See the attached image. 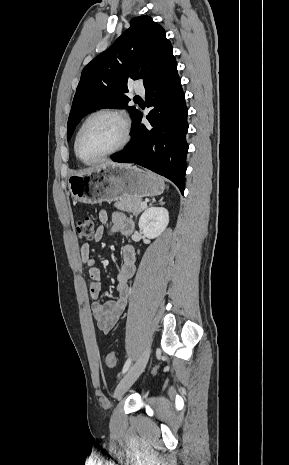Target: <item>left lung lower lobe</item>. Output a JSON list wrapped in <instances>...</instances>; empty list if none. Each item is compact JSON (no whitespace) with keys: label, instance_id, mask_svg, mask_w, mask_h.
I'll use <instances>...</instances> for the list:
<instances>
[{"label":"left lung lower lobe","instance_id":"0a47b994","mask_svg":"<svg viewBox=\"0 0 289 465\" xmlns=\"http://www.w3.org/2000/svg\"><path fill=\"white\" fill-rule=\"evenodd\" d=\"M148 107H153L141 124L137 112L131 127L132 140L123 151L111 155L120 163H136L173 181L184 192L186 173L187 107L181 80L175 68L158 82L145 87Z\"/></svg>","mask_w":289,"mask_h":465}]
</instances>
